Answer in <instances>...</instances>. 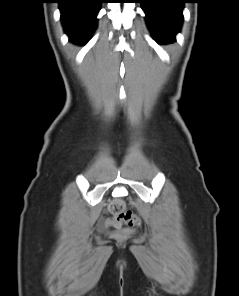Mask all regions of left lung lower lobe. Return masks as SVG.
I'll use <instances>...</instances> for the list:
<instances>
[{"label": "left lung lower lobe", "instance_id": "left-lung-lower-lobe-1", "mask_svg": "<svg viewBox=\"0 0 239 296\" xmlns=\"http://www.w3.org/2000/svg\"><path fill=\"white\" fill-rule=\"evenodd\" d=\"M153 36L161 43L175 40L183 19L186 0H139Z\"/></svg>", "mask_w": 239, "mask_h": 296}]
</instances>
